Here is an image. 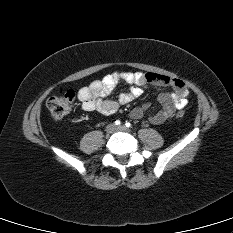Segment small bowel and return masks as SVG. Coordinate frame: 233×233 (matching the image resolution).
Returning <instances> with one entry per match:
<instances>
[{
	"label": "small bowel",
	"instance_id": "small-bowel-1",
	"mask_svg": "<svg viewBox=\"0 0 233 233\" xmlns=\"http://www.w3.org/2000/svg\"><path fill=\"white\" fill-rule=\"evenodd\" d=\"M130 85L128 92L121 93L117 99H107L119 82ZM147 84L157 86H170L173 92H163L158 101L161 109L150 116V121L159 125L173 117L176 111H180L188 104V88L180 79L171 78L157 73L141 72H114L104 76L100 80L91 82L77 92V98L81 102L82 109L88 112L96 111L109 116L116 113L121 106L131 103L143 93ZM151 109L149 103L135 107L130 116L140 119Z\"/></svg>",
	"mask_w": 233,
	"mask_h": 233
}]
</instances>
